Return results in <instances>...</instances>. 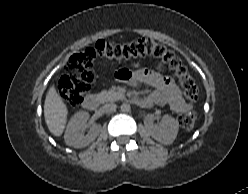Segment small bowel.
Returning a JSON list of instances; mask_svg holds the SVG:
<instances>
[{"label": "small bowel", "instance_id": "small-bowel-1", "mask_svg": "<svg viewBox=\"0 0 248 194\" xmlns=\"http://www.w3.org/2000/svg\"><path fill=\"white\" fill-rule=\"evenodd\" d=\"M130 84H146L154 88V91L142 100L147 102L146 106L169 105L176 113H186L192 108L182 95L179 86L170 78L152 68H143L131 72Z\"/></svg>", "mask_w": 248, "mask_h": 194}]
</instances>
